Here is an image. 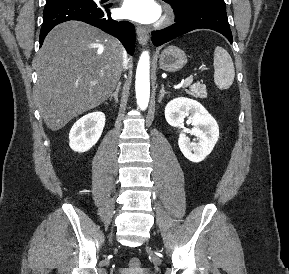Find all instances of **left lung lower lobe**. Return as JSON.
I'll use <instances>...</instances> for the list:
<instances>
[{"label":"left lung lower lobe","instance_id":"left-lung-lower-lobe-1","mask_svg":"<svg viewBox=\"0 0 289 274\" xmlns=\"http://www.w3.org/2000/svg\"><path fill=\"white\" fill-rule=\"evenodd\" d=\"M211 29L224 35L232 43V33L225 10L201 9L177 20L172 26L152 32V41L155 46H160L178 36L195 29Z\"/></svg>","mask_w":289,"mask_h":274}]
</instances>
